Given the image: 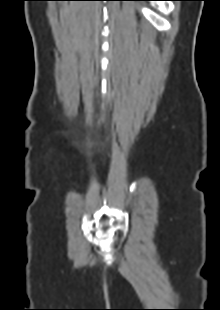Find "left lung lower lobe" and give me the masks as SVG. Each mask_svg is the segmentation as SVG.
I'll use <instances>...</instances> for the list:
<instances>
[{
	"label": "left lung lower lobe",
	"instance_id": "left-lung-lower-lobe-1",
	"mask_svg": "<svg viewBox=\"0 0 220 310\" xmlns=\"http://www.w3.org/2000/svg\"><path fill=\"white\" fill-rule=\"evenodd\" d=\"M154 1H164V0H154Z\"/></svg>",
	"mask_w": 220,
	"mask_h": 310
}]
</instances>
